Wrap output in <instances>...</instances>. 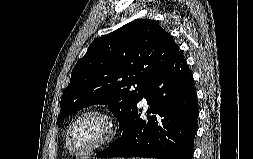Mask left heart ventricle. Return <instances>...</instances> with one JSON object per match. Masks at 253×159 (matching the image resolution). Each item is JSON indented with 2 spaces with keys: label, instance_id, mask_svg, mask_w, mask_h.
Here are the masks:
<instances>
[{
  "label": "left heart ventricle",
  "instance_id": "1",
  "mask_svg": "<svg viewBox=\"0 0 253 159\" xmlns=\"http://www.w3.org/2000/svg\"><path fill=\"white\" fill-rule=\"evenodd\" d=\"M109 132L107 120L98 114L83 117L75 126L71 136V147L76 152H85Z\"/></svg>",
  "mask_w": 253,
  "mask_h": 159
}]
</instances>
